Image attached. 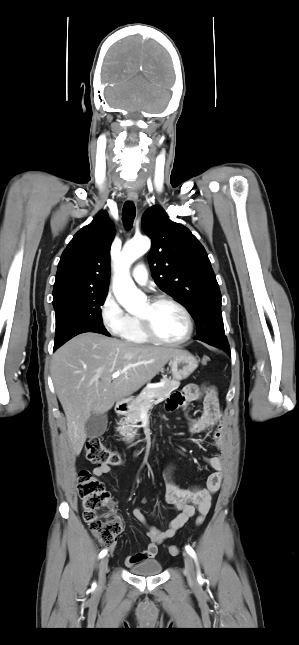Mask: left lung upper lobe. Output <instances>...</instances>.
I'll return each mask as SVG.
<instances>
[{
	"label": "left lung upper lobe",
	"instance_id": "left-lung-upper-lobe-1",
	"mask_svg": "<svg viewBox=\"0 0 299 645\" xmlns=\"http://www.w3.org/2000/svg\"><path fill=\"white\" fill-rule=\"evenodd\" d=\"M142 228L152 239L148 261L153 278L188 309L197 325L194 339L214 346L226 342L221 293L204 247L159 205L145 211Z\"/></svg>",
	"mask_w": 299,
	"mask_h": 645
}]
</instances>
